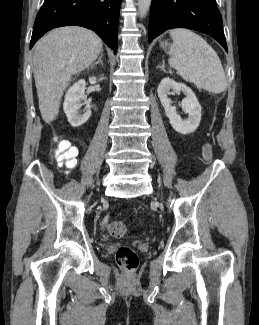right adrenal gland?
Returning <instances> with one entry per match:
<instances>
[{
  "instance_id": "2a0ac1e0",
  "label": "right adrenal gland",
  "mask_w": 259,
  "mask_h": 325,
  "mask_svg": "<svg viewBox=\"0 0 259 325\" xmlns=\"http://www.w3.org/2000/svg\"><path fill=\"white\" fill-rule=\"evenodd\" d=\"M102 57H103V51H101V55H100V57L98 58V60L95 62V63H93V64H91V66H90V68L91 69H93L97 64H99V63H101L102 65H103V62H102Z\"/></svg>"
}]
</instances>
